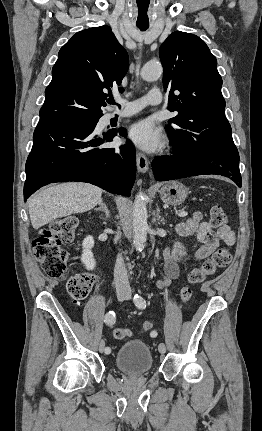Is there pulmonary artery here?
Listing matches in <instances>:
<instances>
[{
	"mask_svg": "<svg viewBox=\"0 0 262 431\" xmlns=\"http://www.w3.org/2000/svg\"><path fill=\"white\" fill-rule=\"evenodd\" d=\"M163 96L159 88H152L144 97L138 98L134 101H124L120 99L119 101L127 104V107L121 111L113 112L109 115V118H125L131 116L147 105H158L162 102Z\"/></svg>",
	"mask_w": 262,
	"mask_h": 431,
	"instance_id": "1",
	"label": "pulmonary artery"
}]
</instances>
